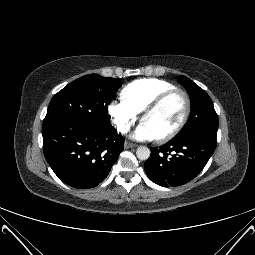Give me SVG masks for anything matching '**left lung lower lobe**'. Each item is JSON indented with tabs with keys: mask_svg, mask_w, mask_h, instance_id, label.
I'll use <instances>...</instances> for the list:
<instances>
[{
	"mask_svg": "<svg viewBox=\"0 0 255 255\" xmlns=\"http://www.w3.org/2000/svg\"><path fill=\"white\" fill-rule=\"evenodd\" d=\"M215 147L216 139L209 137L171 140L159 149L151 147L144 168L154 183L163 187L179 186L201 172Z\"/></svg>",
	"mask_w": 255,
	"mask_h": 255,
	"instance_id": "1",
	"label": "left lung lower lobe"
}]
</instances>
